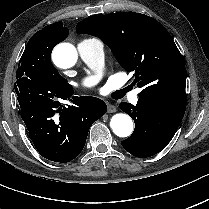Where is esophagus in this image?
Segmentation results:
<instances>
[{"mask_svg":"<svg viewBox=\"0 0 209 209\" xmlns=\"http://www.w3.org/2000/svg\"><path fill=\"white\" fill-rule=\"evenodd\" d=\"M107 111H108V113L116 112V107L113 104L108 102L107 103Z\"/></svg>","mask_w":209,"mask_h":209,"instance_id":"obj_1","label":"esophagus"}]
</instances>
